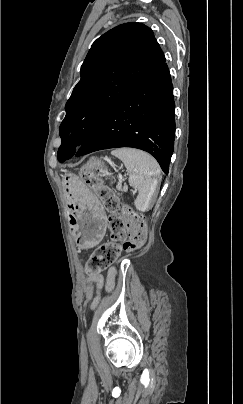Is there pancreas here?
<instances>
[{
    "label": "pancreas",
    "mask_w": 243,
    "mask_h": 404,
    "mask_svg": "<svg viewBox=\"0 0 243 404\" xmlns=\"http://www.w3.org/2000/svg\"><path fill=\"white\" fill-rule=\"evenodd\" d=\"M116 188L117 190H120V192H128V186H126V184L122 186V182H118Z\"/></svg>",
    "instance_id": "cf45deb5"
}]
</instances>
